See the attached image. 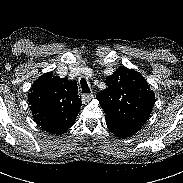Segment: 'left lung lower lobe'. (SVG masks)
<instances>
[{"label": "left lung lower lobe", "instance_id": "1", "mask_svg": "<svg viewBox=\"0 0 183 183\" xmlns=\"http://www.w3.org/2000/svg\"><path fill=\"white\" fill-rule=\"evenodd\" d=\"M108 129L120 138L129 137L135 134L140 128L134 126H125L115 122L106 121Z\"/></svg>", "mask_w": 183, "mask_h": 183}]
</instances>
